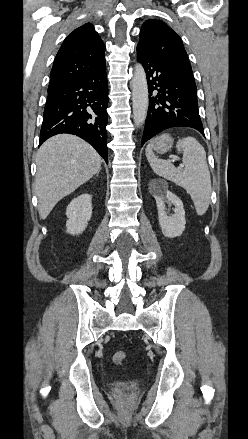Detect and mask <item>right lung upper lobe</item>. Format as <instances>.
I'll use <instances>...</instances> for the list:
<instances>
[{
  "mask_svg": "<svg viewBox=\"0 0 248 439\" xmlns=\"http://www.w3.org/2000/svg\"><path fill=\"white\" fill-rule=\"evenodd\" d=\"M104 52L105 45L92 24L75 29L65 38L55 57L48 92L105 65Z\"/></svg>",
  "mask_w": 248,
  "mask_h": 439,
  "instance_id": "1",
  "label": "right lung upper lobe"
}]
</instances>
